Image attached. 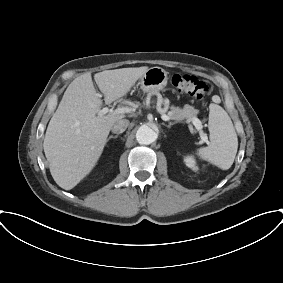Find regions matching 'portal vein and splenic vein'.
<instances>
[{"mask_svg": "<svg viewBox=\"0 0 283 283\" xmlns=\"http://www.w3.org/2000/svg\"><path fill=\"white\" fill-rule=\"evenodd\" d=\"M100 97H101V95H100ZM131 111H132V109L129 108V107H119L114 112H116L117 114H124V113H130ZM108 112H113V111L111 109H109L108 107H104L103 109L100 110L101 114H106ZM161 118L164 121H169L171 119L166 114H162ZM191 122L195 126V128L198 131H200V136H201L202 141L208 143L207 135L205 133H203V131H202V123H201V121L198 118H193L191 120Z\"/></svg>", "mask_w": 283, "mask_h": 283, "instance_id": "18ae733b", "label": "portal vein and splenic vein"}]
</instances>
